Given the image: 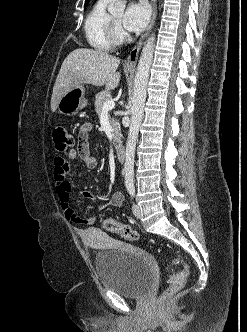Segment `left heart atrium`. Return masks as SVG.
Returning <instances> with one entry per match:
<instances>
[{
	"mask_svg": "<svg viewBox=\"0 0 247 332\" xmlns=\"http://www.w3.org/2000/svg\"><path fill=\"white\" fill-rule=\"evenodd\" d=\"M150 9L143 0L132 2L127 7L122 19V26L128 32L141 31L148 23Z\"/></svg>",
	"mask_w": 247,
	"mask_h": 332,
	"instance_id": "left-heart-atrium-1",
	"label": "left heart atrium"
}]
</instances>
